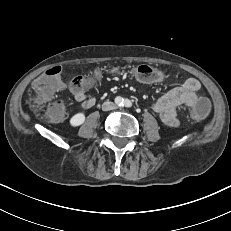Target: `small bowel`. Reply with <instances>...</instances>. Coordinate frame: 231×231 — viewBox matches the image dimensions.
Here are the masks:
<instances>
[{
  "instance_id": "small-bowel-1",
  "label": "small bowel",
  "mask_w": 231,
  "mask_h": 231,
  "mask_svg": "<svg viewBox=\"0 0 231 231\" xmlns=\"http://www.w3.org/2000/svg\"><path fill=\"white\" fill-rule=\"evenodd\" d=\"M68 89L83 109H89L94 106L96 100L92 95L87 94L85 91H75L71 85ZM199 89V81L195 78H188L182 85L154 99L152 108L159 115L161 122L165 126L176 127L179 124L178 109L181 107L192 108L200 97L197 94Z\"/></svg>"
}]
</instances>
